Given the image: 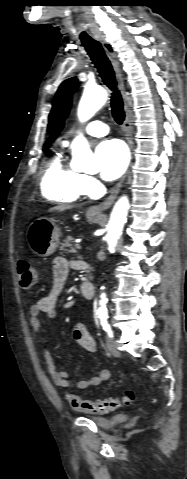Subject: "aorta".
Returning <instances> with one entry per match:
<instances>
[{
    "label": "aorta",
    "instance_id": "1",
    "mask_svg": "<svg viewBox=\"0 0 187 479\" xmlns=\"http://www.w3.org/2000/svg\"><path fill=\"white\" fill-rule=\"evenodd\" d=\"M107 92L102 87H86L78 106V118L81 122L88 121L106 102ZM73 162L78 171L94 174L100 170L99 160L93 156L89 144L83 135L77 136L72 142ZM129 209V200L122 196L115 204L108 223L107 242L109 250H113L122 234ZM104 289V287H101ZM98 314H106L107 298L101 294Z\"/></svg>",
    "mask_w": 187,
    "mask_h": 479
}]
</instances>
